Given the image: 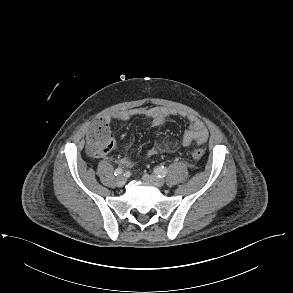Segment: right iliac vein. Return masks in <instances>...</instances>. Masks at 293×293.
<instances>
[{"label":"right iliac vein","instance_id":"obj_1","mask_svg":"<svg viewBox=\"0 0 293 293\" xmlns=\"http://www.w3.org/2000/svg\"><path fill=\"white\" fill-rule=\"evenodd\" d=\"M116 184L118 187H123L126 184V178L124 176H119L116 179Z\"/></svg>","mask_w":293,"mask_h":293}]
</instances>
